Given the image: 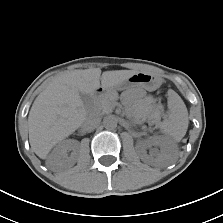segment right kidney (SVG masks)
I'll use <instances>...</instances> for the list:
<instances>
[{
	"label": "right kidney",
	"instance_id": "obj_1",
	"mask_svg": "<svg viewBox=\"0 0 223 223\" xmlns=\"http://www.w3.org/2000/svg\"><path fill=\"white\" fill-rule=\"evenodd\" d=\"M77 142L73 140H65L59 143L50 153L47 159V166L52 169L74 165V155L68 156L69 150H75Z\"/></svg>",
	"mask_w": 223,
	"mask_h": 223
}]
</instances>
